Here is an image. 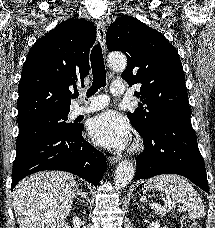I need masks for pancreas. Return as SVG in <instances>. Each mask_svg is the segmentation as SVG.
<instances>
[{
	"label": "pancreas",
	"mask_w": 215,
	"mask_h": 228,
	"mask_svg": "<svg viewBox=\"0 0 215 228\" xmlns=\"http://www.w3.org/2000/svg\"><path fill=\"white\" fill-rule=\"evenodd\" d=\"M155 212H156V214H159V216H162V218H163V216H166V212H163V210H159V208H158V210H155Z\"/></svg>",
	"instance_id": "1"
}]
</instances>
